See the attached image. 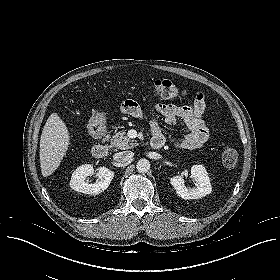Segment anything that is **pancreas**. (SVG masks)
<instances>
[{"mask_svg": "<svg viewBox=\"0 0 280 280\" xmlns=\"http://www.w3.org/2000/svg\"><path fill=\"white\" fill-rule=\"evenodd\" d=\"M137 142L125 136V132L119 131L111 139V146L120 150H126L137 146Z\"/></svg>", "mask_w": 280, "mask_h": 280, "instance_id": "obj_1", "label": "pancreas"}]
</instances>
